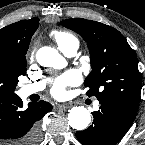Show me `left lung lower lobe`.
I'll return each instance as SVG.
<instances>
[{"label":"left lung lower lobe","instance_id":"1","mask_svg":"<svg viewBox=\"0 0 145 145\" xmlns=\"http://www.w3.org/2000/svg\"><path fill=\"white\" fill-rule=\"evenodd\" d=\"M100 110L93 112L94 121L76 137L83 145H115L132 125L136 112L125 107L100 103Z\"/></svg>","mask_w":145,"mask_h":145}]
</instances>
